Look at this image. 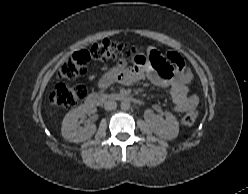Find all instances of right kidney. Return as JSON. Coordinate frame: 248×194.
Returning <instances> with one entry per match:
<instances>
[{"mask_svg": "<svg viewBox=\"0 0 248 194\" xmlns=\"http://www.w3.org/2000/svg\"><path fill=\"white\" fill-rule=\"evenodd\" d=\"M95 107L81 105L69 111L63 119L61 133L65 140L75 143H80L96 132L95 124H87L85 127H80L79 118L87 113H94Z\"/></svg>", "mask_w": 248, "mask_h": 194, "instance_id": "ca27d5eb", "label": "right kidney"}]
</instances>
